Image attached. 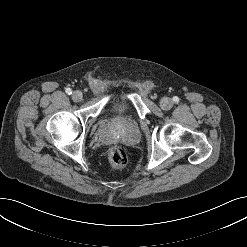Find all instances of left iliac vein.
<instances>
[{
    "label": "left iliac vein",
    "mask_w": 247,
    "mask_h": 247,
    "mask_svg": "<svg viewBox=\"0 0 247 247\" xmlns=\"http://www.w3.org/2000/svg\"><path fill=\"white\" fill-rule=\"evenodd\" d=\"M173 106V101L170 99V98H163L161 101H160V107L163 109V110H169L171 109Z\"/></svg>",
    "instance_id": "4c4485c4"
}]
</instances>
